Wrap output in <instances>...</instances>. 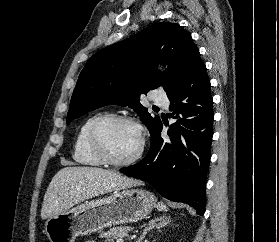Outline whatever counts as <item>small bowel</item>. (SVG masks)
<instances>
[{
	"mask_svg": "<svg viewBox=\"0 0 279 242\" xmlns=\"http://www.w3.org/2000/svg\"><path fill=\"white\" fill-rule=\"evenodd\" d=\"M87 242H95V241H87Z\"/></svg>",
	"mask_w": 279,
	"mask_h": 242,
	"instance_id": "c3829d8e",
	"label": "small bowel"
}]
</instances>
